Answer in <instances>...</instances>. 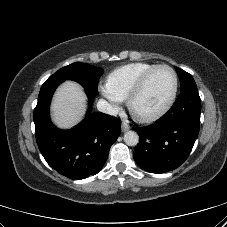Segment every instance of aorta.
I'll return each mask as SVG.
<instances>
[{
	"instance_id": "1",
	"label": "aorta",
	"mask_w": 227,
	"mask_h": 227,
	"mask_svg": "<svg viewBox=\"0 0 227 227\" xmlns=\"http://www.w3.org/2000/svg\"><path fill=\"white\" fill-rule=\"evenodd\" d=\"M124 142L128 145V146H135L138 144L139 141V136L136 132L134 131H127L124 134Z\"/></svg>"
}]
</instances>
